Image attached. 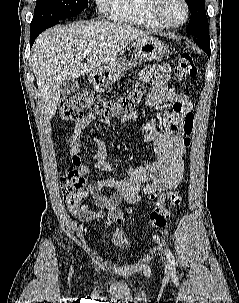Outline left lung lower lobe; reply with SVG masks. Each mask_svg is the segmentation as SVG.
Masks as SVG:
<instances>
[{"label": "left lung lower lobe", "instance_id": "1", "mask_svg": "<svg viewBox=\"0 0 239 303\" xmlns=\"http://www.w3.org/2000/svg\"><path fill=\"white\" fill-rule=\"evenodd\" d=\"M194 41L206 52L208 57L210 58V40H198L194 39Z\"/></svg>", "mask_w": 239, "mask_h": 303}]
</instances>
